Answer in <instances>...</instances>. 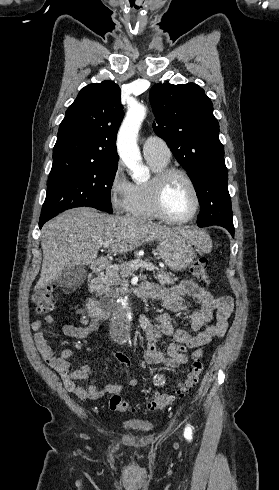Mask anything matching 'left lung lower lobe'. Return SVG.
Here are the masks:
<instances>
[{"label": "left lung lower lobe", "instance_id": "0a47b994", "mask_svg": "<svg viewBox=\"0 0 279 490\" xmlns=\"http://www.w3.org/2000/svg\"><path fill=\"white\" fill-rule=\"evenodd\" d=\"M230 233L231 235L234 237V226H227L225 227Z\"/></svg>", "mask_w": 279, "mask_h": 490}]
</instances>
